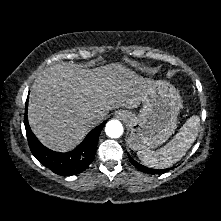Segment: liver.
<instances>
[{
    "label": "liver",
    "instance_id": "1",
    "mask_svg": "<svg viewBox=\"0 0 221 221\" xmlns=\"http://www.w3.org/2000/svg\"><path fill=\"white\" fill-rule=\"evenodd\" d=\"M149 82L121 64L93 70L68 63L52 65L32 85L29 124L43 145L66 152L110 110L138 107ZM93 114L100 119L90 124L86 119Z\"/></svg>",
    "mask_w": 221,
    "mask_h": 221
}]
</instances>
